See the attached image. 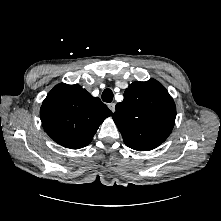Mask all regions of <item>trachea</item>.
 Here are the masks:
<instances>
[{
	"mask_svg": "<svg viewBox=\"0 0 221 221\" xmlns=\"http://www.w3.org/2000/svg\"><path fill=\"white\" fill-rule=\"evenodd\" d=\"M113 97H114V95H113V92H112L111 89H108V88H107V89H105V90L103 91V93H102V100H103L104 102H106V103L112 102Z\"/></svg>",
	"mask_w": 221,
	"mask_h": 221,
	"instance_id": "obj_1",
	"label": "trachea"
}]
</instances>
